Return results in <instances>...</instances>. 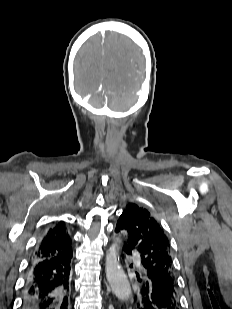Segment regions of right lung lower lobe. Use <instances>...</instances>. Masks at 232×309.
Masks as SVG:
<instances>
[{"label":"right lung lower lobe","instance_id":"1","mask_svg":"<svg viewBox=\"0 0 232 309\" xmlns=\"http://www.w3.org/2000/svg\"><path fill=\"white\" fill-rule=\"evenodd\" d=\"M72 255L41 260L32 258L23 292L24 309H71Z\"/></svg>","mask_w":232,"mask_h":309}]
</instances>
